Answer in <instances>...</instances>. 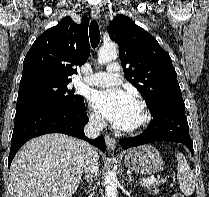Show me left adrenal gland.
Returning a JSON list of instances; mask_svg holds the SVG:
<instances>
[{
    "label": "left adrenal gland",
    "instance_id": "1",
    "mask_svg": "<svg viewBox=\"0 0 209 197\" xmlns=\"http://www.w3.org/2000/svg\"><path fill=\"white\" fill-rule=\"evenodd\" d=\"M128 178H129L128 183H131V182H133V181H134V180L132 179L131 174H128Z\"/></svg>",
    "mask_w": 209,
    "mask_h": 197
}]
</instances>
